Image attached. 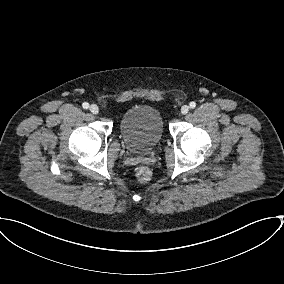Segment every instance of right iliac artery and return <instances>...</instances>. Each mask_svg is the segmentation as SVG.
<instances>
[{
    "label": "right iliac artery",
    "instance_id": "1",
    "mask_svg": "<svg viewBox=\"0 0 284 284\" xmlns=\"http://www.w3.org/2000/svg\"><path fill=\"white\" fill-rule=\"evenodd\" d=\"M82 107H83L84 109H88V108H89V103L84 102V103L82 104Z\"/></svg>",
    "mask_w": 284,
    "mask_h": 284
}]
</instances>
